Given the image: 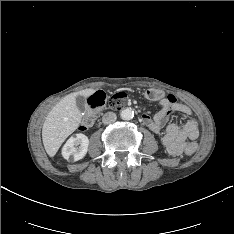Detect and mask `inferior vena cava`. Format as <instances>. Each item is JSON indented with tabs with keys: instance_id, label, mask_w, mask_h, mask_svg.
Masks as SVG:
<instances>
[{
	"instance_id": "obj_1",
	"label": "inferior vena cava",
	"mask_w": 234,
	"mask_h": 234,
	"mask_svg": "<svg viewBox=\"0 0 234 234\" xmlns=\"http://www.w3.org/2000/svg\"><path fill=\"white\" fill-rule=\"evenodd\" d=\"M116 119H117V116H116L115 113H113V112H107V113H105V114L103 115V117H102V122H103L104 124H110V123L115 122Z\"/></svg>"
}]
</instances>
